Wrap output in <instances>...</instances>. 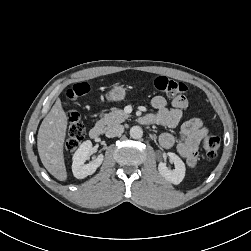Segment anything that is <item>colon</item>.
<instances>
[{"mask_svg": "<svg viewBox=\"0 0 251 251\" xmlns=\"http://www.w3.org/2000/svg\"><path fill=\"white\" fill-rule=\"evenodd\" d=\"M153 87L156 91L161 92L167 96H179L188 91V86L180 81L170 79L165 76H159L154 79ZM89 91L86 83L74 85L67 91V97L70 99H77ZM85 135V128L81 122L79 115L75 112L70 114L69 125L67 128V135L65 140V150L73 152L81 143ZM203 150L205 155L213 159L217 156L220 147V140L214 135H206L203 139Z\"/></svg>", "mask_w": 251, "mask_h": 251, "instance_id": "colon-1", "label": "colon"}]
</instances>
